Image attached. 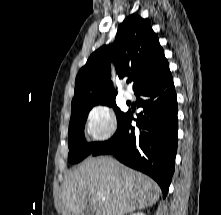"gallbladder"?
I'll use <instances>...</instances> for the list:
<instances>
[{"label":"gallbladder","instance_id":"obj_1","mask_svg":"<svg viewBox=\"0 0 221 215\" xmlns=\"http://www.w3.org/2000/svg\"><path fill=\"white\" fill-rule=\"evenodd\" d=\"M81 215H95V212L92 210L90 205H87Z\"/></svg>","mask_w":221,"mask_h":215}]
</instances>
